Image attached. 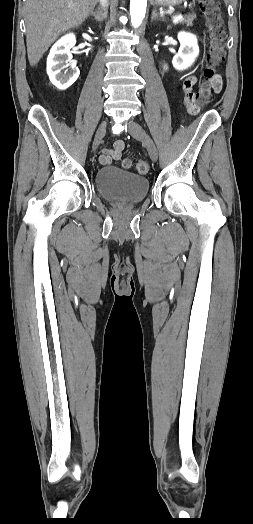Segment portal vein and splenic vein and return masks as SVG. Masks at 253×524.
Returning a JSON list of instances; mask_svg holds the SVG:
<instances>
[{"label": "portal vein and splenic vein", "instance_id": "obj_1", "mask_svg": "<svg viewBox=\"0 0 253 524\" xmlns=\"http://www.w3.org/2000/svg\"><path fill=\"white\" fill-rule=\"evenodd\" d=\"M183 19V15L182 14H179L175 17H173V22L176 23V22H179Z\"/></svg>", "mask_w": 253, "mask_h": 524}]
</instances>
